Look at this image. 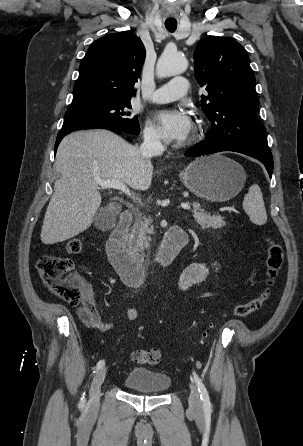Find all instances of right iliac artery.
I'll return each mask as SVG.
<instances>
[{
  "instance_id": "82829eb1",
  "label": "right iliac artery",
  "mask_w": 303,
  "mask_h": 446,
  "mask_svg": "<svg viewBox=\"0 0 303 446\" xmlns=\"http://www.w3.org/2000/svg\"><path fill=\"white\" fill-rule=\"evenodd\" d=\"M104 365H105V361H104V360H100V361L97 363V365H96L95 370H94L93 373L98 372L101 368H103ZM84 402H85V396L83 395V397L81 398V403H84Z\"/></svg>"
}]
</instances>
